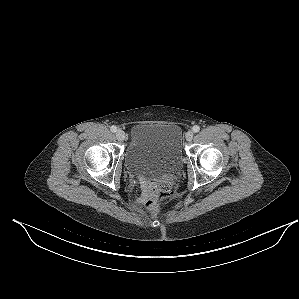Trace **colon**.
<instances>
[{
  "label": "colon",
  "mask_w": 299,
  "mask_h": 299,
  "mask_svg": "<svg viewBox=\"0 0 299 299\" xmlns=\"http://www.w3.org/2000/svg\"><path fill=\"white\" fill-rule=\"evenodd\" d=\"M173 182L164 180L149 186L147 206L151 211H156L160 203L173 194Z\"/></svg>",
  "instance_id": "5ec220e1"
}]
</instances>
